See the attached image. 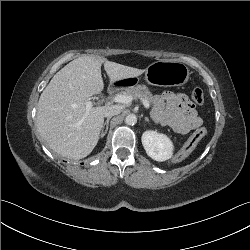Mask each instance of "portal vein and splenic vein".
<instances>
[{"mask_svg": "<svg viewBox=\"0 0 250 250\" xmlns=\"http://www.w3.org/2000/svg\"><path fill=\"white\" fill-rule=\"evenodd\" d=\"M132 100H133V97L131 95L118 94L113 98L112 101L116 102V103H131ZM141 101H142L144 107L146 109H149V107H150L149 101L145 98H141ZM85 105H86V112L88 113L93 106V102L87 101L85 103Z\"/></svg>", "mask_w": 250, "mask_h": 250, "instance_id": "18ae733b", "label": "portal vein and splenic vein"}]
</instances>
